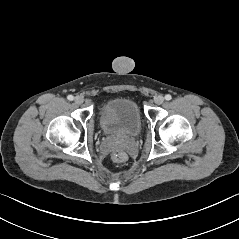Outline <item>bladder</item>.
<instances>
[{
    "instance_id": "bladder-1",
    "label": "bladder",
    "mask_w": 239,
    "mask_h": 239,
    "mask_svg": "<svg viewBox=\"0 0 239 239\" xmlns=\"http://www.w3.org/2000/svg\"><path fill=\"white\" fill-rule=\"evenodd\" d=\"M100 125L106 135L136 137L142 126L140 109L130 98H111L101 107Z\"/></svg>"
}]
</instances>
